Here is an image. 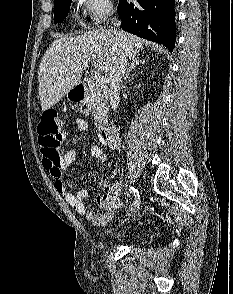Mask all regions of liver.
<instances>
[{"instance_id": "liver-1", "label": "liver", "mask_w": 233, "mask_h": 294, "mask_svg": "<svg viewBox=\"0 0 233 294\" xmlns=\"http://www.w3.org/2000/svg\"><path fill=\"white\" fill-rule=\"evenodd\" d=\"M144 41L125 31L99 29L77 37L56 39L46 50L38 72L41 108L48 110L80 83L85 61L96 60L97 70L110 81L118 53L130 60L143 49Z\"/></svg>"}]
</instances>
